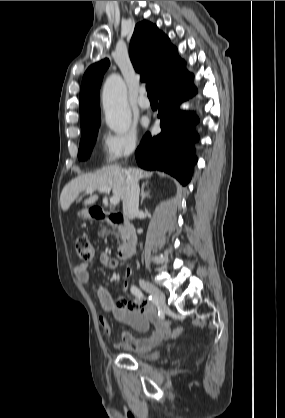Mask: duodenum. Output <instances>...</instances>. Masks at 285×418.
Listing matches in <instances>:
<instances>
[{"label": "duodenum", "instance_id": "duodenum-1", "mask_svg": "<svg viewBox=\"0 0 285 418\" xmlns=\"http://www.w3.org/2000/svg\"><path fill=\"white\" fill-rule=\"evenodd\" d=\"M93 219L108 222L121 232L123 244L118 249V256L121 259L131 258L134 254L137 234L134 227L125 219L124 215L117 211L98 209Z\"/></svg>", "mask_w": 285, "mask_h": 418}]
</instances>
